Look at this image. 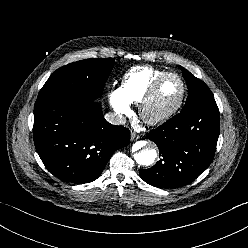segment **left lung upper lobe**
<instances>
[{
  "mask_svg": "<svg viewBox=\"0 0 248 248\" xmlns=\"http://www.w3.org/2000/svg\"><path fill=\"white\" fill-rule=\"evenodd\" d=\"M178 67L183 71V77L188 87V98L182 112L215 102L210 89L203 81L196 78L185 68L181 66Z\"/></svg>",
  "mask_w": 248,
  "mask_h": 248,
  "instance_id": "1",
  "label": "left lung upper lobe"
}]
</instances>
